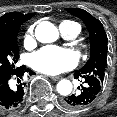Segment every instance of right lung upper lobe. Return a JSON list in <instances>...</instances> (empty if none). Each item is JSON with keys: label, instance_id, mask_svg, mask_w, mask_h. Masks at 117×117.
Returning <instances> with one entry per match:
<instances>
[{"label": "right lung upper lobe", "instance_id": "right-lung-upper-lobe-1", "mask_svg": "<svg viewBox=\"0 0 117 117\" xmlns=\"http://www.w3.org/2000/svg\"><path fill=\"white\" fill-rule=\"evenodd\" d=\"M34 14H21L19 12H10L0 17V31H19L22 23L33 17Z\"/></svg>", "mask_w": 117, "mask_h": 117}]
</instances>
